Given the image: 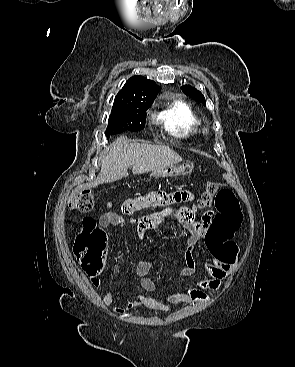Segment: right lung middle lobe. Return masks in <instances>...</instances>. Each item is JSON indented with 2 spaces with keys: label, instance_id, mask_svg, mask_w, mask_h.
<instances>
[{
  "label": "right lung middle lobe",
  "instance_id": "1",
  "mask_svg": "<svg viewBox=\"0 0 295 367\" xmlns=\"http://www.w3.org/2000/svg\"><path fill=\"white\" fill-rule=\"evenodd\" d=\"M152 103H130L122 107L112 108L105 132L107 136L119 134L124 131H139L144 129L146 110Z\"/></svg>",
  "mask_w": 295,
  "mask_h": 367
}]
</instances>
